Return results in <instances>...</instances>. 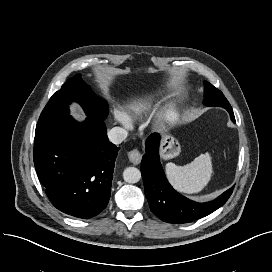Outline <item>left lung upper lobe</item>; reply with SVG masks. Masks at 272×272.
Listing matches in <instances>:
<instances>
[{
  "label": "left lung upper lobe",
  "instance_id": "5c2ea615",
  "mask_svg": "<svg viewBox=\"0 0 272 272\" xmlns=\"http://www.w3.org/2000/svg\"><path fill=\"white\" fill-rule=\"evenodd\" d=\"M203 103L210 107H223L226 110L232 109L223 93L207 81H204Z\"/></svg>",
  "mask_w": 272,
  "mask_h": 272
}]
</instances>
